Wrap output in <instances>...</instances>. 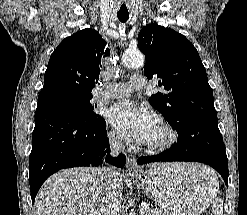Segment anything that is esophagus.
Segmentation results:
<instances>
[{
    "label": "esophagus",
    "mask_w": 247,
    "mask_h": 215,
    "mask_svg": "<svg viewBox=\"0 0 247 215\" xmlns=\"http://www.w3.org/2000/svg\"><path fill=\"white\" fill-rule=\"evenodd\" d=\"M127 170L129 172L138 173L140 172V167L138 166L135 157L129 156L127 159Z\"/></svg>",
    "instance_id": "34e87169"
}]
</instances>
